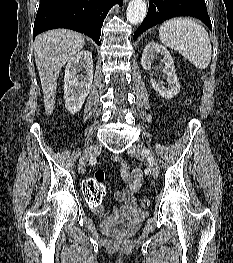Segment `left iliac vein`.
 <instances>
[{
	"instance_id": "4c4485c4",
	"label": "left iliac vein",
	"mask_w": 233,
	"mask_h": 263,
	"mask_svg": "<svg viewBox=\"0 0 233 263\" xmlns=\"http://www.w3.org/2000/svg\"><path fill=\"white\" fill-rule=\"evenodd\" d=\"M128 154L137 159H144L147 158L149 163V169L154 178H157L159 175V165L155 161L154 157L147 152V149L139 144H134L128 149Z\"/></svg>"
}]
</instances>
